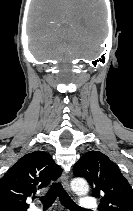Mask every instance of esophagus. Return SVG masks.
Instances as JSON below:
<instances>
[{
  "label": "esophagus",
  "mask_w": 133,
  "mask_h": 211,
  "mask_svg": "<svg viewBox=\"0 0 133 211\" xmlns=\"http://www.w3.org/2000/svg\"><path fill=\"white\" fill-rule=\"evenodd\" d=\"M61 183L63 187L70 192V187H69V181H68V175L66 173H62L61 175Z\"/></svg>",
  "instance_id": "obj_1"
}]
</instances>
